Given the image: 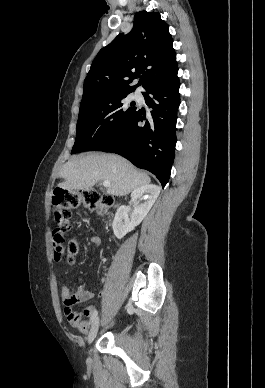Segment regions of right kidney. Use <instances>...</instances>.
I'll return each instance as SVG.
<instances>
[{
	"mask_svg": "<svg viewBox=\"0 0 265 388\" xmlns=\"http://www.w3.org/2000/svg\"><path fill=\"white\" fill-rule=\"evenodd\" d=\"M160 194V188L154 186V184H148V186H140L137 190H134L131 194V202H135L134 210L129 218V208L126 206H120L118 208L115 218L113 220V232L118 238L122 240L128 232H132L135 226H139L142 220L146 218L149 210H151L155 200H157ZM139 198L145 200L144 204H138Z\"/></svg>",
	"mask_w": 265,
	"mask_h": 388,
	"instance_id": "ca27d5eb",
	"label": "right kidney"
}]
</instances>
